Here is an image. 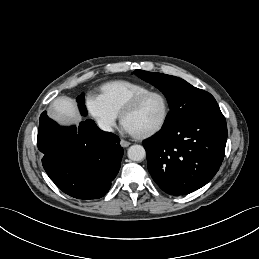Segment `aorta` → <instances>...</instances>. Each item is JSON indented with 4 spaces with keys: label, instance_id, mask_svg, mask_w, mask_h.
Here are the masks:
<instances>
[{
    "label": "aorta",
    "instance_id": "obj_1",
    "mask_svg": "<svg viewBox=\"0 0 259 259\" xmlns=\"http://www.w3.org/2000/svg\"><path fill=\"white\" fill-rule=\"evenodd\" d=\"M127 155L130 160L140 162L145 158L146 152L143 146L132 145L129 147Z\"/></svg>",
    "mask_w": 259,
    "mask_h": 259
}]
</instances>
